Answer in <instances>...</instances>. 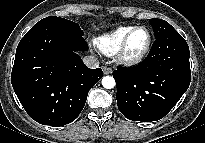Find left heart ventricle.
<instances>
[{
	"label": "left heart ventricle",
	"mask_w": 205,
	"mask_h": 143,
	"mask_svg": "<svg viewBox=\"0 0 205 143\" xmlns=\"http://www.w3.org/2000/svg\"><path fill=\"white\" fill-rule=\"evenodd\" d=\"M147 40L148 35L145 30L139 29L135 31L128 42L127 54L129 56H137L138 54H140L145 48Z\"/></svg>",
	"instance_id": "left-heart-ventricle-1"
}]
</instances>
